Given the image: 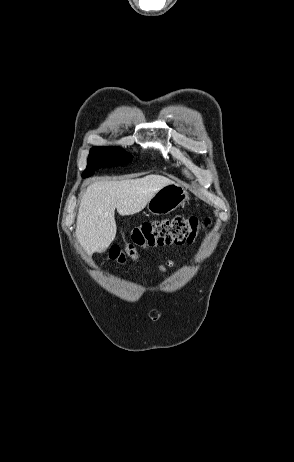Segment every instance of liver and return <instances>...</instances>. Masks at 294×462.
<instances>
[{
	"label": "liver",
	"mask_w": 294,
	"mask_h": 462,
	"mask_svg": "<svg viewBox=\"0 0 294 462\" xmlns=\"http://www.w3.org/2000/svg\"><path fill=\"white\" fill-rule=\"evenodd\" d=\"M174 182L161 175L122 181H96L79 205L76 235L88 254L107 250L116 236L115 209L121 216L142 211L153 195Z\"/></svg>",
	"instance_id": "6515ba94"
}]
</instances>
